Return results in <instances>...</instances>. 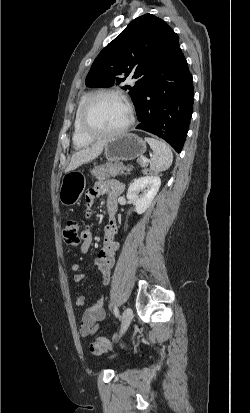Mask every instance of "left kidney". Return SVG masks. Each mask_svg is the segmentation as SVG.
<instances>
[{
    "label": "left kidney",
    "instance_id": "5707ae66",
    "mask_svg": "<svg viewBox=\"0 0 250 413\" xmlns=\"http://www.w3.org/2000/svg\"><path fill=\"white\" fill-rule=\"evenodd\" d=\"M161 180L156 175H147L134 180L127 191V198L135 205L137 214L144 213L159 191ZM139 192L141 194L139 195Z\"/></svg>",
    "mask_w": 250,
    "mask_h": 413
}]
</instances>
